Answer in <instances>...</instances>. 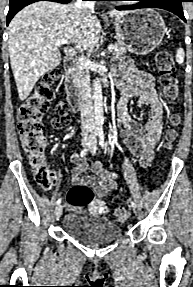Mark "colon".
<instances>
[{
    "instance_id": "obj_1",
    "label": "colon",
    "mask_w": 193,
    "mask_h": 287,
    "mask_svg": "<svg viewBox=\"0 0 193 287\" xmlns=\"http://www.w3.org/2000/svg\"><path fill=\"white\" fill-rule=\"evenodd\" d=\"M156 69L164 97L175 104L179 89L176 75V66L170 53L160 51L156 56ZM60 76V71L51 69L43 75L36 84L33 92L19 107L17 112L18 131L23 149L27 155L28 163L33 170L34 180L43 189L49 190L54 181L55 174L46 162L47 143L43 134L42 117L49 111L53 98V87ZM56 116L52 119L53 126L59 128L70 121L67 104L59 101L55 106ZM169 129L166 133L165 148L170 149L178 135L180 116L172 113L169 119ZM94 199V191L87 185H74L67 193V202L72 207H81ZM114 216L119 221L127 220L129 212L126 207L118 206L114 209Z\"/></svg>"
}]
</instances>
